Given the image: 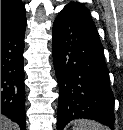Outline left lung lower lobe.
<instances>
[{"mask_svg": "<svg viewBox=\"0 0 123 130\" xmlns=\"http://www.w3.org/2000/svg\"><path fill=\"white\" fill-rule=\"evenodd\" d=\"M53 61L59 84L57 130L76 118L114 128V95L96 29L64 8L53 23Z\"/></svg>", "mask_w": 123, "mask_h": 130, "instance_id": "0a47b994", "label": "left lung lower lobe"}]
</instances>
